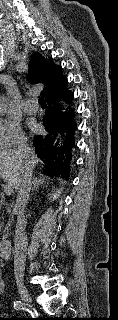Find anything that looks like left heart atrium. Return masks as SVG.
I'll use <instances>...</instances> for the list:
<instances>
[{"instance_id": "obj_1", "label": "left heart atrium", "mask_w": 118, "mask_h": 320, "mask_svg": "<svg viewBox=\"0 0 118 320\" xmlns=\"http://www.w3.org/2000/svg\"><path fill=\"white\" fill-rule=\"evenodd\" d=\"M32 128H36V125H35V124H32Z\"/></svg>"}]
</instances>
